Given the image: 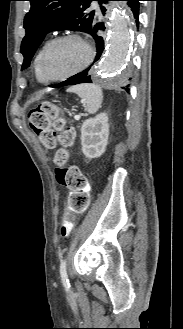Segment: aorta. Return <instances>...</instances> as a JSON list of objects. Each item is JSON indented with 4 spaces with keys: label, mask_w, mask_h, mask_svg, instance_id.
<instances>
[{
    "label": "aorta",
    "mask_w": 183,
    "mask_h": 329,
    "mask_svg": "<svg viewBox=\"0 0 183 329\" xmlns=\"http://www.w3.org/2000/svg\"><path fill=\"white\" fill-rule=\"evenodd\" d=\"M131 43L130 13L125 8L118 7L111 16L107 52L99 67V75L104 81L115 83L122 80Z\"/></svg>",
    "instance_id": "obj_1"
}]
</instances>
